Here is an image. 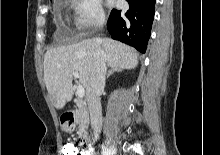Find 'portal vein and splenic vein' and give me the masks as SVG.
<instances>
[{
	"mask_svg": "<svg viewBox=\"0 0 220 155\" xmlns=\"http://www.w3.org/2000/svg\"><path fill=\"white\" fill-rule=\"evenodd\" d=\"M73 76H74L75 79H78V78H79V73L76 72V71H74V72H73ZM76 93H77V96H78L79 98H83L84 95H85V89H84V87H83L82 85H78V86H77V91H76Z\"/></svg>",
	"mask_w": 220,
	"mask_h": 155,
	"instance_id": "18ae733b",
	"label": "portal vein and splenic vein"
}]
</instances>
